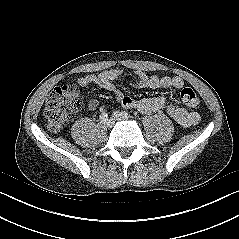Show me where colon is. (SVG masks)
I'll use <instances>...</instances> for the list:
<instances>
[{
	"label": "colon",
	"mask_w": 239,
	"mask_h": 239,
	"mask_svg": "<svg viewBox=\"0 0 239 239\" xmlns=\"http://www.w3.org/2000/svg\"><path fill=\"white\" fill-rule=\"evenodd\" d=\"M182 102L189 108H197L199 99L190 87L180 92ZM82 105L77 88L72 84L56 87L49 95L43 110L50 131L58 132L67 123L71 115Z\"/></svg>",
	"instance_id": "colon-1"
}]
</instances>
